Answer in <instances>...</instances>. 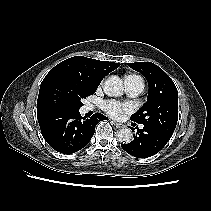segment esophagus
<instances>
[{"label": "esophagus", "mask_w": 211, "mask_h": 211, "mask_svg": "<svg viewBox=\"0 0 211 211\" xmlns=\"http://www.w3.org/2000/svg\"><path fill=\"white\" fill-rule=\"evenodd\" d=\"M111 123H112L116 128H123V127H124L123 124L118 123V122H115V121H112Z\"/></svg>", "instance_id": "esophagus-1"}]
</instances>
